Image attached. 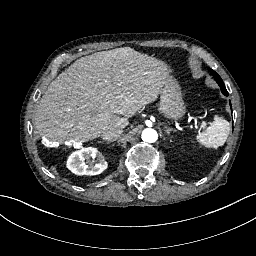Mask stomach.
<instances>
[{
	"mask_svg": "<svg viewBox=\"0 0 256 256\" xmlns=\"http://www.w3.org/2000/svg\"><path fill=\"white\" fill-rule=\"evenodd\" d=\"M158 111L164 118L174 121H178L185 116L186 104L175 79L167 82L161 88Z\"/></svg>",
	"mask_w": 256,
	"mask_h": 256,
	"instance_id": "obj_1",
	"label": "stomach"
}]
</instances>
